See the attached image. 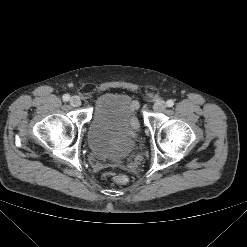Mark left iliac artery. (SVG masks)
<instances>
[{"label":"left iliac artery","instance_id":"1","mask_svg":"<svg viewBox=\"0 0 247 247\" xmlns=\"http://www.w3.org/2000/svg\"><path fill=\"white\" fill-rule=\"evenodd\" d=\"M166 104H167L168 107H172L174 105V101L173 100H168L166 102Z\"/></svg>","mask_w":247,"mask_h":247}]
</instances>
